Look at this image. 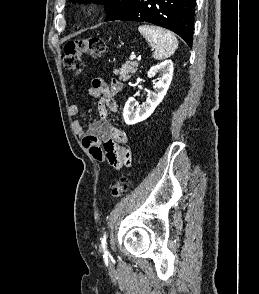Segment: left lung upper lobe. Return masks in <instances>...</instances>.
<instances>
[{"mask_svg":"<svg viewBox=\"0 0 259 294\" xmlns=\"http://www.w3.org/2000/svg\"><path fill=\"white\" fill-rule=\"evenodd\" d=\"M72 3H96V4H105L106 19H109L111 16L121 11L125 7L132 4L135 0H68Z\"/></svg>","mask_w":259,"mask_h":294,"instance_id":"5c2ea615","label":"left lung upper lobe"}]
</instances>
